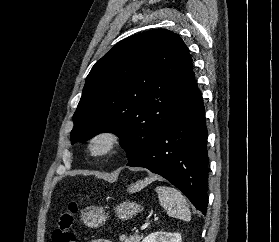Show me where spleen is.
<instances>
[{"instance_id": "spleen-1", "label": "spleen", "mask_w": 279, "mask_h": 242, "mask_svg": "<svg viewBox=\"0 0 279 242\" xmlns=\"http://www.w3.org/2000/svg\"><path fill=\"white\" fill-rule=\"evenodd\" d=\"M160 205L167 211L169 216L189 221L191 218L190 209L185 197L180 191L172 187L157 186Z\"/></svg>"}]
</instances>
